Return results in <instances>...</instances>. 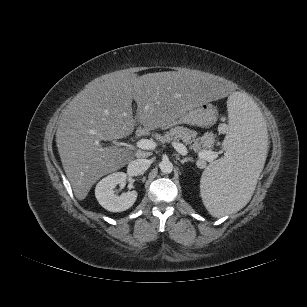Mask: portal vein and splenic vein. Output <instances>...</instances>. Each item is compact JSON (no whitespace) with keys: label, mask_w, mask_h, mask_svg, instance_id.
Returning a JSON list of instances; mask_svg holds the SVG:
<instances>
[{"label":"portal vein and splenic vein","mask_w":307,"mask_h":307,"mask_svg":"<svg viewBox=\"0 0 307 307\" xmlns=\"http://www.w3.org/2000/svg\"><path fill=\"white\" fill-rule=\"evenodd\" d=\"M172 145L179 154L186 155L188 153V150L184 144L173 142ZM136 146L142 150H152L156 148L157 142L152 139H141L136 143ZM198 157L200 159L207 160L208 162H213L218 157V154L210 150H203L198 153Z\"/></svg>","instance_id":"1"}]
</instances>
